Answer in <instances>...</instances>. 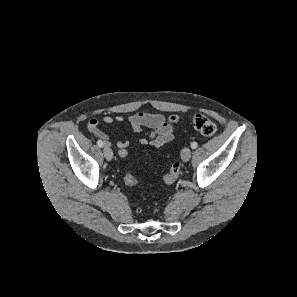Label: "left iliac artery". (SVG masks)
I'll return each mask as SVG.
<instances>
[{
    "mask_svg": "<svg viewBox=\"0 0 297 297\" xmlns=\"http://www.w3.org/2000/svg\"><path fill=\"white\" fill-rule=\"evenodd\" d=\"M197 146H198L197 142H192V143H191V148H192V149L197 148Z\"/></svg>",
    "mask_w": 297,
    "mask_h": 297,
    "instance_id": "left-iliac-artery-1",
    "label": "left iliac artery"
}]
</instances>
